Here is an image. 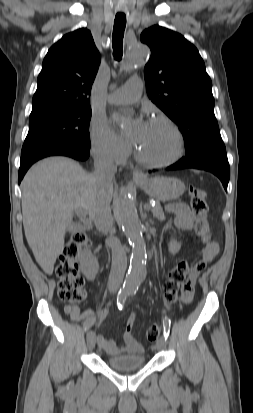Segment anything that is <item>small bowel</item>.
Wrapping results in <instances>:
<instances>
[{
    "label": "small bowel",
    "instance_id": "1",
    "mask_svg": "<svg viewBox=\"0 0 253 413\" xmlns=\"http://www.w3.org/2000/svg\"><path fill=\"white\" fill-rule=\"evenodd\" d=\"M168 210L174 213V223L178 229L191 231L196 226V216L190 210V208L184 203H174L168 206ZM204 249L202 253V260L197 263L191 273H185L184 278L180 284V296L184 305H191L196 294L195 283L205 268V266L212 262L219 252V246L216 242L210 239L207 233L203 236ZM168 251L171 254H176L181 249V244L173 239H169L167 242ZM107 306L100 308L98 312L99 324L104 319L107 313ZM65 313L74 322H82L85 327L87 324H94L96 322V316L91 310H87L80 313L77 306H67ZM134 315H131L127 321L124 331L125 346H117L115 341L106 339L103 335L96 336V342L100 348H102L109 355H119L124 353H142L144 351L143 346L136 340L133 334Z\"/></svg>",
    "mask_w": 253,
    "mask_h": 413
}]
</instances>
